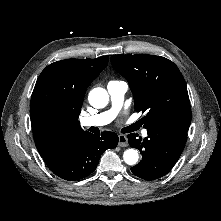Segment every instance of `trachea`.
<instances>
[{"label": "trachea", "mask_w": 221, "mask_h": 221, "mask_svg": "<svg viewBox=\"0 0 221 221\" xmlns=\"http://www.w3.org/2000/svg\"><path fill=\"white\" fill-rule=\"evenodd\" d=\"M127 130H128V131L133 130V127H130V128H128Z\"/></svg>", "instance_id": "trachea-1"}]
</instances>
